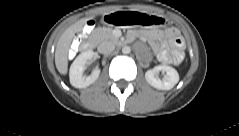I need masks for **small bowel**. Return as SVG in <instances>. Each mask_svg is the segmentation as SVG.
I'll use <instances>...</instances> for the list:
<instances>
[{"mask_svg": "<svg viewBox=\"0 0 239 136\" xmlns=\"http://www.w3.org/2000/svg\"><path fill=\"white\" fill-rule=\"evenodd\" d=\"M88 30V27L85 28ZM169 37H171L174 49L168 50L167 45L165 43L161 44L156 49V54L159 59L164 64H176L177 62L181 61L183 58L182 48H183V41L181 37L178 35V32L171 31L169 33Z\"/></svg>", "mask_w": 239, "mask_h": 136, "instance_id": "c3829d8e", "label": "small bowel"}]
</instances>
